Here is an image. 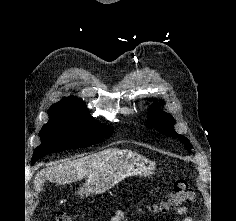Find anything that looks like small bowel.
I'll use <instances>...</instances> for the list:
<instances>
[{"label":"small bowel","instance_id":"c3829d8e","mask_svg":"<svg viewBox=\"0 0 236 221\" xmlns=\"http://www.w3.org/2000/svg\"><path fill=\"white\" fill-rule=\"evenodd\" d=\"M177 213L180 215H185L183 221H194L192 217L188 216V209L186 207L178 209ZM110 221H129V215L124 210H116Z\"/></svg>","mask_w":236,"mask_h":221}]
</instances>
